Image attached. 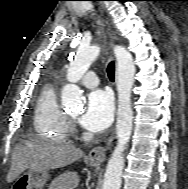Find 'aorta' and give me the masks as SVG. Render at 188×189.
<instances>
[{"mask_svg": "<svg viewBox=\"0 0 188 189\" xmlns=\"http://www.w3.org/2000/svg\"><path fill=\"white\" fill-rule=\"evenodd\" d=\"M100 46L79 47L74 60L67 70L66 84L61 93V103L67 109H77L82 106V92L76 83L87 72L93 61L100 54ZM114 54L117 60V145L108 161L102 189H120L122 172L125 163L124 151L132 132L133 113L131 107V89L134 83L135 65L132 55L123 46H116Z\"/></svg>", "mask_w": 188, "mask_h": 189, "instance_id": "1", "label": "aorta"}]
</instances>
